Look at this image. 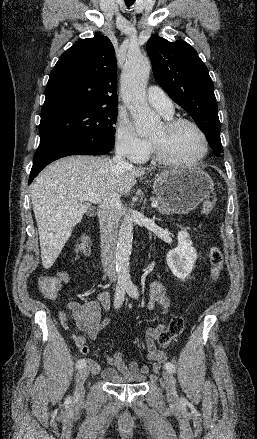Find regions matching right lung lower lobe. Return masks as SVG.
<instances>
[{
    "label": "right lung lower lobe",
    "instance_id": "obj_1",
    "mask_svg": "<svg viewBox=\"0 0 257 439\" xmlns=\"http://www.w3.org/2000/svg\"><path fill=\"white\" fill-rule=\"evenodd\" d=\"M114 145L98 139L86 137L63 136L40 143L30 172L29 184L49 163L69 155H104Z\"/></svg>",
    "mask_w": 257,
    "mask_h": 439
}]
</instances>
